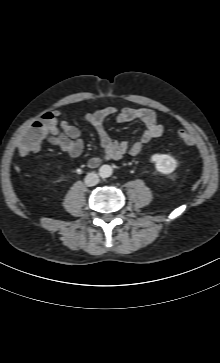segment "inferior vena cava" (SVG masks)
I'll return each mask as SVG.
<instances>
[{"label":"inferior vena cava","mask_w":220,"mask_h":363,"mask_svg":"<svg viewBox=\"0 0 220 363\" xmlns=\"http://www.w3.org/2000/svg\"><path fill=\"white\" fill-rule=\"evenodd\" d=\"M98 182H99V176L94 172L88 173L87 176L85 177V184L87 186H95L96 184H98Z\"/></svg>","instance_id":"obj_1"}]
</instances>
